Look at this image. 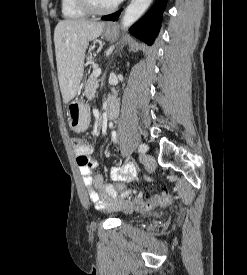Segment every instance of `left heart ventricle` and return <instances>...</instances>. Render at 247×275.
<instances>
[{"label": "left heart ventricle", "mask_w": 247, "mask_h": 275, "mask_svg": "<svg viewBox=\"0 0 247 275\" xmlns=\"http://www.w3.org/2000/svg\"><path fill=\"white\" fill-rule=\"evenodd\" d=\"M97 8H109L116 3V0H90Z\"/></svg>", "instance_id": "left-heart-ventricle-1"}]
</instances>
